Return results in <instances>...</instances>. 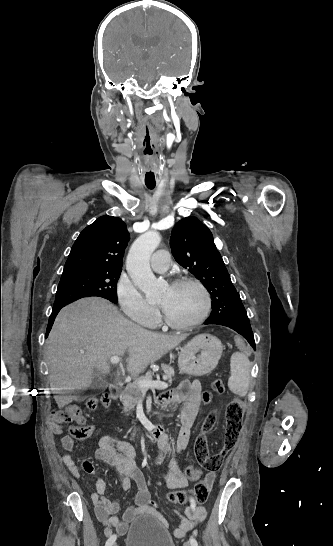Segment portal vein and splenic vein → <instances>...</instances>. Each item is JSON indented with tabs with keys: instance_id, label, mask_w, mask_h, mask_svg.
I'll return each mask as SVG.
<instances>
[{
	"instance_id": "portal-vein-and-splenic-vein-1",
	"label": "portal vein and splenic vein",
	"mask_w": 333,
	"mask_h": 546,
	"mask_svg": "<svg viewBox=\"0 0 333 546\" xmlns=\"http://www.w3.org/2000/svg\"><path fill=\"white\" fill-rule=\"evenodd\" d=\"M83 352V351H81ZM120 362V357L119 356H112L110 358V363L111 364H118ZM138 387L141 389V390H148L150 388H157V389H166L168 387V384L166 382H163V381H160V380H156V381H152V380H140L138 382Z\"/></svg>"
}]
</instances>
